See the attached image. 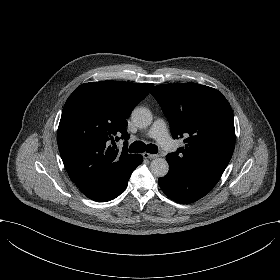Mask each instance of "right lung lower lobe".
I'll return each instance as SVG.
<instances>
[{"label": "right lung lower lobe", "instance_id": "98d812e1", "mask_svg": "<svg viewBox=\"0 0 280 280\" xmlns=\"http://www.w3.org/2000/svg\"><path fill=\"white\" fill-rule=\"evenodd\" d=\"M142 159H143V157L140 155V158L137 161L135 168L142 163ZM134 169L131 172H129L128 174H126L119 182H117L113 186V188L105 195L104 200L101 202L110 201V200L116 198L118 195H120L127 187L128 180L131 176V173L134 171Z\"/></svg>", "mask_w": 280, "mask_h": 280}]
</instances>
